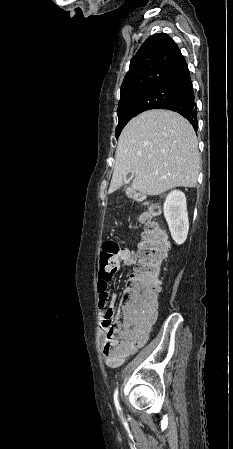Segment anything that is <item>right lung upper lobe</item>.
Wrapping results in <instances>:
<instances>
[{"mask_svg":"<svg viewBox=\"0 0 233 449\" xmlns=\"http://www.w3.org/2000/svg\"><path fill=\"white\" fill-rule=\"evenodd\" d=\"M190 81L187 63L177 44L165 33L154 34L132 58L120 97L152 86L180 88Z\"/></svg>","mask_w":233,"mask_h":449,"instance_id":"right-lung-upper-lobe-1","label":"right lung upper lobe"}]
</instances>
